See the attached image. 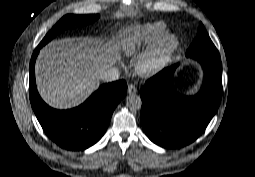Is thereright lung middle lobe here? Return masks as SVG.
<instances>
[{
    "label": "right lung middle lobe",
    "mask_w": 255,
    "mask_h": 177,
    "mask_svg": "<svg viewBox=\"0 0 255 177\" xmlns=\"http://www.w3.org/2000/svg\"><path fill=\"white\" fill-rule=\"evenodd\" d=\"M99 15H65L44 37L39 47L44 46L53 39L58 33L62 32L71 24L85 25L96 21Z\"/></svg>",
    "instance_id": "dd1d6c3e"
}]
</instances>
